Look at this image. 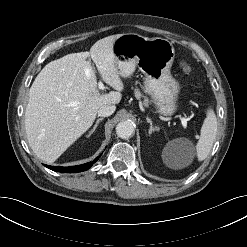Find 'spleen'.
I'll return each mask as SVG.
<instances>
[{
    "mask_svg": "<svg viewBox=\"0 0 247 247\" xmlns=\"http://www.w3.org/2000/svg\"><path fill=\"white\" fill-rule=\"evenodd\" d=\"M217 135V118L212 108L207 110V116L201 127L200 138L196 144V155L203 161L209 155Z\"/></svg>",
    "mask_w": 247,
    "mask_h": 247,
    "instance_id": "spleen-1",
    "label": "spleen"
}]
</instances>
